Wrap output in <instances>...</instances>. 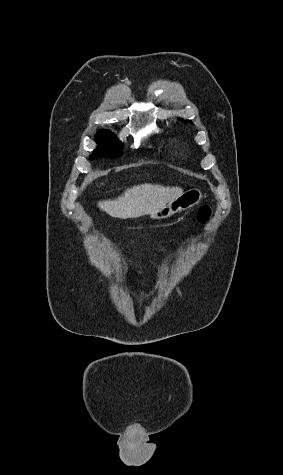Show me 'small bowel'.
<instances>
[{"label": "small bowel", "mask_w": 283, "mask_h": 475, "mask_svg": "<svg viewBox=\"0 0 283 475\" xmlns=\"http://www.w3.org/2000/svg\"><path fill=\"white\" fill-rule=\"evenodd\" d=\"M122 270H123V267H122V266H117V267L115 268V271H116V272H122Z\"/></svg>", "instance_id": "obj_1"}]
</instances>
